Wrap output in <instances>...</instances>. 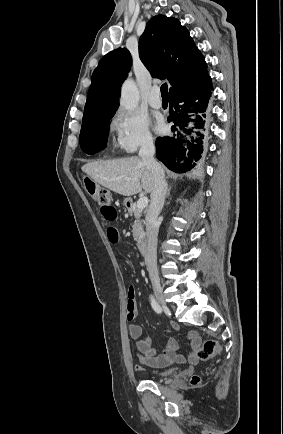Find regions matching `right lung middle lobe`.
I'll return each mask as SVG.
<instances>
[{"mask_svg": "<svg viewBox=\"0 0 283 434\" xmlns=\"http://www.w3.org/2000/svg\"><path fill=\"white\" fill-rule=\"evenodd\" d=\"M114 114L109 115L97 123L81 128L79 143L81 149L87 154H94L106 146L110 119Z\"/></svg>", "mask_w": 283, "mask_h": 434, "instance_id": "obj_1", "label": "right lung middle lobe"}]
</instances>
